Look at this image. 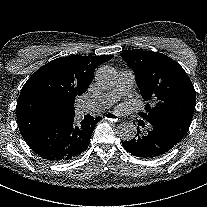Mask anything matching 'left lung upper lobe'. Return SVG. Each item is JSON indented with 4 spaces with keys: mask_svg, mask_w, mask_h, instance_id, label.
I'll return each instance as SVG.
<instances>
[{
    "mask_svg": "<svg viewBox=\"0 0 207 207\" xmlns=\"http://www.w3.org/2000/svg\"><path fill=\"white\" fill-rule=\"evenodd\" d=\"M120 55L134 70L142 98L148 103L139 115L182 139L196 105V92L185 70L158 52L135 50Z\"/></svg>",
    "mask_w": 207,
    "mask_h": 207,
    "instance_id": "1",
    "label": "left lung upper lobe"
}]
</instances>
